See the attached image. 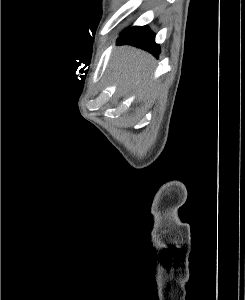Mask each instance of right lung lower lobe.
I'll return each mask as SVG.
<instances>
[{"instance_id":"right-lung-lower-lobe-1","label":"right lung lower lobe","mask_w":245,"mask_h":300,"mask_svg":"<svg viewBox=\"0 0 245 300\" xmlns=\"http://www.w3.org/2000/svg\"><path fill=\"white\" fill-rule=\"evenodd\" d=\"M117 44H130L145 49L158 56L159 45L155 43V34L147 27H132L126 30L118 39Z\"/></svg>"}]
</instances>
